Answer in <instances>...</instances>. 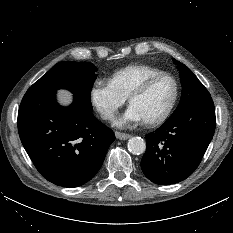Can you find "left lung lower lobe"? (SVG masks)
Returning a JSON list of instances; mask_svg holds the SVG:
<instances>
[{"label": "left lung lower lobe", "instance_id": "obj_1", "mask_svg": "<svg viewBox=\"0 0 233 233\" xmlns=\"http://www.w3.org/2000/svg\"><path fill=\"white\" fill-rule=\"evenodd\" d=\"M216 125L213 101L186 109L168 118L147 134V150L141 160L145 176L159 185L183 181L198 167L211 142Z\"/></svg>", "mask_w": 233, "mask_h": 233}]
</instances>
